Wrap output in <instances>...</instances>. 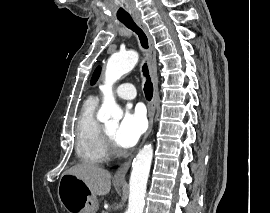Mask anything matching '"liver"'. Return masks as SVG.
<instances>
[{
  "instance_id": "1",
  "label": "liver",
  "mask_w": 270,
  "mask_h": 213,
  "mask_svg": "<svg viewBox=\"0 0 270 213\" xmlns=\"http://www.w3.org/2000/svg\"><path fill=\"white\" fill-rule=\"evenodd\" d=\"M64 174H71L83 180L94 196H103L111 189V174L109 171L90 163H80L66 170Z\"/></svg>"
}]
</instances>
